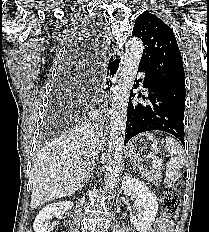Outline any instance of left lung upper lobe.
I'll list each match as a JSON object with an SVG mask.
<instances>
[{
  "label": "left lung upper lobe",
  "mask_w": 209,
  "mask_h": 232,
  "mask_svg": "<svg viewBox=\"0 0 209 232\" xmlns=\"http://www.w3.org/2000/svg\"><path fill=\"white\" fill-rule=\"evenodd\" d=\"M132 35L145 46L140 65L163 81L185 87L182 57L171 28L155 15L143 12L136 20Z\"/></svg>",
  "instance_id": "left-lung-upper-lobe-1"
}]
</instances>
